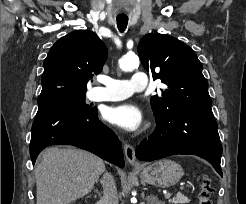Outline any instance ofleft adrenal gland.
<instances>
[{
  "label": "left adrenal gland",
  "mask_w": 246,
  "mask_h": 204,
  "mask_svg": "<svg viewBox=\"0 0 246 204\" xmlns=\"http://www.w3.org/2000/svg\"><path fill=\"white\" fill-rule=\"evenodd\" d=\"M148 204H164L161 200H159L156 196L148 197Z\"/></svg>",
  "instance_id": "obj_1"
}]
</instances>
